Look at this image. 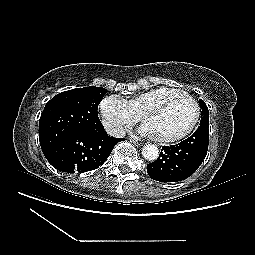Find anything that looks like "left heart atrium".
<instances>
[{
    "label": "left heart atrium",
    "instance_id": "39dd6f15",
    "mask_svg": "<svg viewBox=\"0 0 255 255\" xmlns=\"http://www.w3.org/2000/svg\"><path fill=\"white\" fill-rule=\"evenodd\" d=\"M138 132L143 136L155 137V134H154L152 128L145 123L138 129Z\"/></svg>",
    "mask_w": 255,
    "mask_h": 255
}]
</instances>
